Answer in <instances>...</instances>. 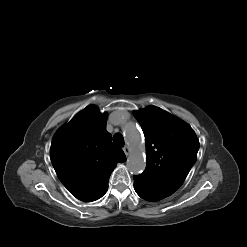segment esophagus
Listing matches in <instances>:
<instances>
[{
  "instance_id": "esophagus-1",
  "label": "esophagus",
  "mask_w": 247,
  "mask_h": 247,
  "mask_svg": "<svg viewBox=\"0 0 247 247\" xmlns=\"http://www.w3.org/2000/svg\"><path fill=\"white\" fill-rule=\"evenodd\" d=\"M123 151H124L126 156H128L130 154V148L128 146H124Z\"/></svg>"
}]
</instances>
